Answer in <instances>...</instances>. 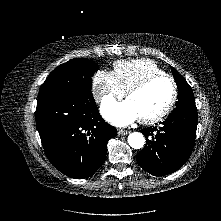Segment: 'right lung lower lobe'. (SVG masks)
<instances>
[{
  "label": "right lung lower lobe",
  "mask_w": 221,
  "mask_h": 221,
  "mask_svg": "<svg viewBox=\"0 0 221 221\" xmlns=\"http://www.w3.org/2000/svg\"><path fill=\"white\" fill-rule=\"evenodd\" d=\"M35 115L48 159L72 178L93 175L106 157L107 141L117 133L102 119L90 89L40 99Z\"/></svg>",
  "instance_id": "obj_1"
}]
</instances>
